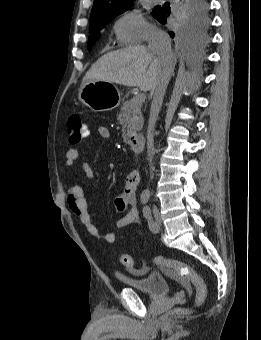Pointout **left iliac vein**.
I'll use <instances>...</instances> for the list:
<instances>
[{"instance_id":"1","label":"left iliac vein","mask_w":261,"mask_h":340,"mask_svg":"<svg viewBox=\"0 0 261 340\" xmlns=\"http://www.w3.org/2000/svg\"><path fill=\"white\" fill-rule=\"evenodd\" d=\"M153 214H154L155 223H156V228L154 231L159 232L161 230V216H160L159 210L157 208H154Z\"/></svg>"}]
</instances>
